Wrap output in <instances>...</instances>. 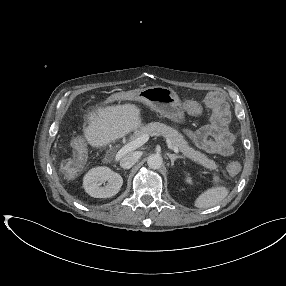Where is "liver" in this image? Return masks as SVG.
Masks as SVG:
<instances>
[{
    "label": "liver",
    "instance_id": "6515ba94",
    "mask_svg": "<svg viewBox=\"0 0 286 286\" xmlns=\"http://www.w3.org/2000/svg\"><path fill=\"white\" fill-rule=\"evenodd\" d=\"M142 125L141 110L132 103L100 107L90 113L84 136L92 147H103Z\"/></svg>",
    "mask_w": 286,
    "mask_h": 286
}]
</instances>
